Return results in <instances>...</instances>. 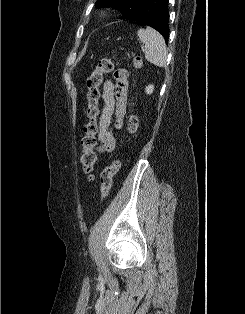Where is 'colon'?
Segmentation results:
<instances>
[{"label": "colon", "mask_w": 245, "mask_h": 314, "mask_svg": "<svg viewBox=\"0 0 245 314\" xmlns=\"http://www.w3.org/2000/svg\"><path fill=\"white\" fill-rule=\"evenodd\" d=\"M114 57H106L101 59L94 71L87 78V116L88 122L84 128V137L82 139L83 153L81 156L82 169L89 180L93 179V171L96 164V153L94 147L96 144V133L98 130L97 119L99 115L98 100H99V87L102 83L103 76L110 73L114 66ZM141 60L139 57L134 59V67L139 68ZM138 129V117L135 113H131L128 119V134H134ZM120 163L114 159L111 164L106 167L101 175V198L105 200L110 192L112 186V179L118 172Z\"/></svg>", "instance_id": "obj_1"}]
</instances>
